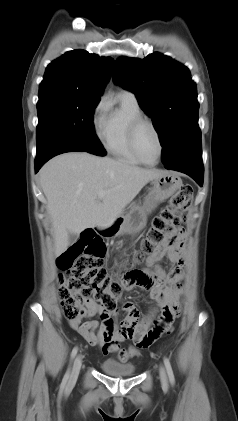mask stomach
<instances>
[{
	"label": "stomach",
	"mask_w": 238,
	"mask_h": 421,
	"mask_svg": "<svg viewBox=\"0 0 238 421\" xmlns=\"http://www.w3.org/2000/svg\"><path fill=\"white\" fill-rule=\"evenodd\" d=\"M151 189L145 197L143 206H134L123 217L109 226L108 236L119 234H133L141 231L147 221V211L152 204L162 202L172 196L182 186L181 178L174 172L165 171L151 180Z\"/></svg>",
	"instance_id": "1"
}]
</instances>
